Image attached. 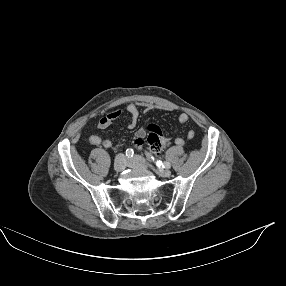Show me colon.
I'll list each match as a JSON object with an SVG mask.
<instances>
[{"label":"colon","mask_w":286,"mask_h":286,"mask_svg":"<svg viewBox=\"0 0 286 286\" xmlns=\"http://www.w3.org/2000/svg\"><path fill=\"white\" fill-rule=\"evenodd\" d=\"M166 139L162 133V130L155 124H151L148 127V136L146 138L147 143L155 151H159L163 148L162 142Z\"/></svg>","instance_id":"1"}]
</instances>
